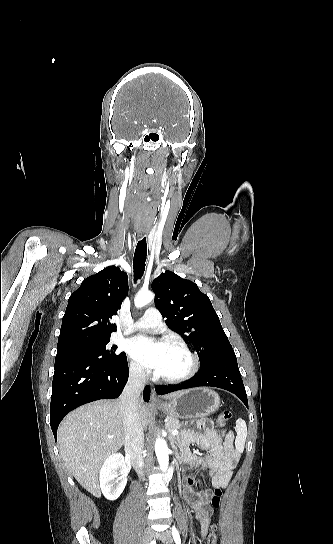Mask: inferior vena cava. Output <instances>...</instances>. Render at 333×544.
Returning <instances> with one entry per match:
<instances>
[{
	"instance_id": "obj_1",
	"label": "inferior vena cava",
	"mask_w": 333,
	"mask_h": 544,
	"mask_svg": "<svg viewBox=\"0 0 333 544\" xmlns=\"http://www.w3.org/2000/svg\"><path fill=\"white\" fill-rule=\"evenodd\" d=\"M146 382L145 372L141 367H132L128 382L120 396V410L125 427V452L130 458L139 477L144 475L143 426L139 415V396Z\"/></svg>"
}]
</instances>
